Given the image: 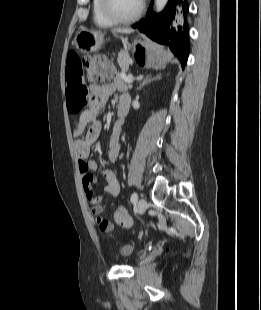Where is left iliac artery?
<instances>
[{
	"mask_svg": "<svg viewBox=\"0 0 261 310\" xmlns=\"http://www.w3.org/2000/svg\"><path fill=\"white\" fill-rule=\"evenodd\" d=\"M137 199H138V195H137V193L136 192H134L132 195H131V198H130V200H131V202H136L137 201Z\"/></svg>",
	"mask_w": 261,
	"mask_h": 310,
	"instance_id": "obj_1",
	"label": "left iliac artery"
}]
</instances>
